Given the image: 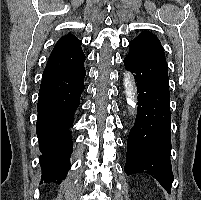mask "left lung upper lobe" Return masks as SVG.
<instances>
[{
	"label": "left lung upper lobe",
	"mask_w": 201,
	"mask_h": 200,
	"mask_svg": "<svg viewBox=\"0 0 201 200\" xmlns=\"http://www.w3.org/2000/svg\"><path fill=\"white\" fill-rule=\"evenodd\" d=\"M128 54L140 59H165L164 49L159 39L149 31L141 32L129 43Z\"/></svg>",
	"instance_id": "left-lung-upper-lobe-1"
}]
</instances>
